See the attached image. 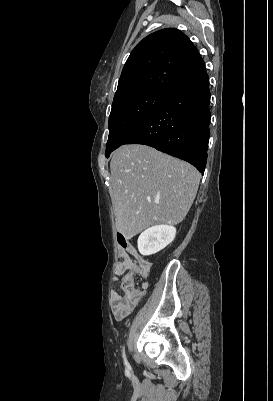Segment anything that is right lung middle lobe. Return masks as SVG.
Instances as JSON below:
<instances>
[{"mask_svg": "<svg viewBox=\"0 0 273 401\" xmlns=\"http://www.w3.org/2000/svg\"><path fill=\"white\" fill-rule=\"evenodd\" d=\"M165 93L143 91L113 100L109 116V137L106 157L120 147L130 134L163 101Z\"/></svg>", "mask_w": 273, "mask_h": 401, "instance_id": "right-lung-middle-lobe-1", "label": "right lung middle lobe"}]
</instances>
